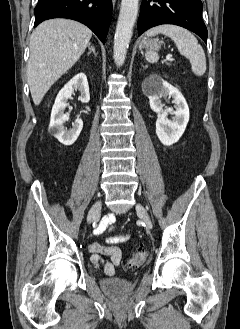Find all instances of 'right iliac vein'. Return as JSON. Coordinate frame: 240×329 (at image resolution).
Masks as SVG:
<instances>
[{
    "label": "right iliac vein",
    "mask_w": 240,
    "mask_h": 329,
    "mask_svg": "<svg viewBox=\"0 0 240 329\" xmlns=\"http://www.w3.org/2000/svg\"><path fill=\"white\" fill-rule=\"evenodd\" d=\"M102 202L97 201L90 209L87 217L88 223H91L95 221L99 216L101 212Z\"/></svg>",
    "instance_id": "obj_1"
}]
</instances>
